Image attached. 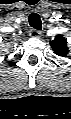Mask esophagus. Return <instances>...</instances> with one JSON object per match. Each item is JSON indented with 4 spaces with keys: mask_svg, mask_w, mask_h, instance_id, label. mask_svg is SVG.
Returning <instances> with one entry per match:
<instances>
[{
    "mask_svg": "<svg viewBox=\"0 0 71 119\" xmlns=\"http://www.w3.org/2000/svg\"><path fill=\"white\" fill-rule=\"evenodd\" d=\"M29 35L31 36V37H34V38H39V37H41V31H39V30H37V29H32L31 31H30V33H29Z\"/></svg>",
    "mask_w": 71,
    "mask_h": 119,
    "instance_id": "1",
    "label": "esophagus"
}]
</instances>
